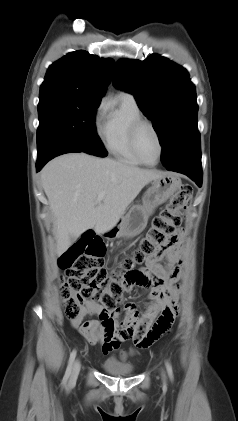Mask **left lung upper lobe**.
<instances>
[{
  "label": "left lung upper lobe",
  "mask_w": 238,
  "mask_h": 421,
  "mask_svg": "<svg viewBox=\"0 0 238 421\" xmlns=\"http://www.w3.org/2000/svg\"><path fill=\"white\" fill-rule=\"evenodd\" d=\"M113 83L132 93L152 120L164 166L200 142L196 91L186 69L158 54L144 61L123 59L117 63Z\"/></svg>",
  "instance_id": "1"
}]
</instances>
